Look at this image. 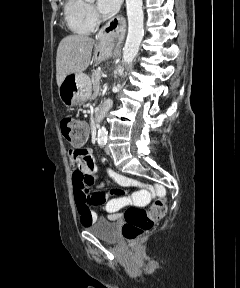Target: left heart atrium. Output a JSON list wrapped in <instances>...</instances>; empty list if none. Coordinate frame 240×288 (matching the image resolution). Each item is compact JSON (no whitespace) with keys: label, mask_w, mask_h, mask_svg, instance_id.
<instances>
[{"label":"left heart atrium","mask_w":240,"mask_h":288,"mask_svg":"<svg viewBox=\"0 0 240 288\" xmlns=\"http://www.w3.org/2000/svg\"><path fill=\"white\" fill-rule=\"evenodd\" d=\"M122 0H97L100 12L105 15L113 14L121 4Z\"/></svg>","instance_id":"obj_1"}]
</instances>
